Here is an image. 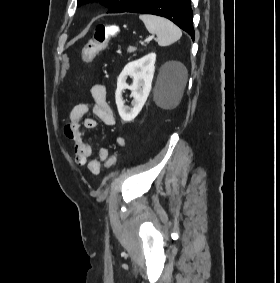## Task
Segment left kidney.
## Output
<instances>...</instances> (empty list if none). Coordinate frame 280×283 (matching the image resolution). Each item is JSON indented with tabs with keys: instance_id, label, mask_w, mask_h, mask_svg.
Listing matches in <instances>:
<instances>
[{
	"instance_id": "1",
	"label": "left kidney",
	"mask_w": 280,
	"mask_h": 283,
	"mask_svg": "<svg viewBox=\"0 0 280 283\" xmlns=\"http://www.w3.org/2000/svg\"><path fill=\"white\" fill-rule=\"evenodd\" d=\"M155 61L156 54L150 53L141 59L128 63L120 73L117 79L115 100L119 115L123 121H132L144 106L151 90ZM128 76L133 79V84L130 86L126 83ZM126 89L131 90L132 107L124 106L122 92Z\"/></svg>"
}]
</instances>
